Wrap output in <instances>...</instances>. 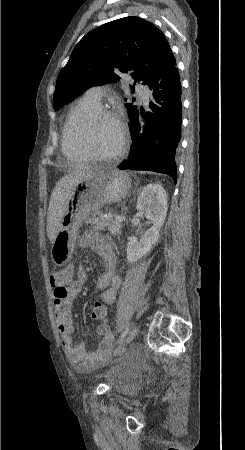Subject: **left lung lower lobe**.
Returning a JSON list of instances; mask_svg holds the SVG:
<instances>
[{
  "mask_svg": "<svg viewBox=\"0 0 245 450\" xmlns=\"http://www.w3.org/2000/svg\"><path fill=\"white\" fill-rule=\"evenodd\" d=\"M151 90V112L131 118L132 149L120 170H149L177 179L175 155L181 135V84L172 55L147 84Z\"/></svg>",
  "mask_w": 245,
  "mask_h": 450,
  "instance_id": "0a47b994",
  "label": "left lung lower lobe"
}]
</instances>
